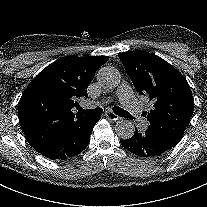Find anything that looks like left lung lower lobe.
<instances>
[{
  "label": "left lung lower lobe",
  "mask_w": 207,
  "mask_h": 207,
  "mask_svg": "<svg viewBox=\"0 0 207 207\" xmlns=\"http://www.w3.org/2000/svg\"><path fill=\"white\" fill-rule=\"evenodd\" d=\"M136 131L127 140H120L123 147L141 157L159 156L167 150L175 147L157 133L147 129L144 133Z\"/></svg>",
  "instance_id": "0a47b994"
}]
</instances>
